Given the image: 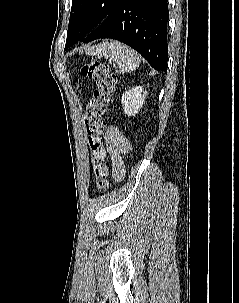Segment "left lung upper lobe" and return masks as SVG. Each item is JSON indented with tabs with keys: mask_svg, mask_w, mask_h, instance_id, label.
<instances>
[{
	"mask_svg": "<svg viewBox=\"0 0 239 303\" xmlns=\"http://www.w3.org/2000/svg\"><path fill=\"white\" fill-rule=\"evenodd\" d=\"M119 0H72L65 50L98 27Z\"/></svg>",
	"mask_w": 239,
	"mask_h": 303,
	"instance_id": "1",
	"label": "left lung upper lobe"
}]
</instances>
